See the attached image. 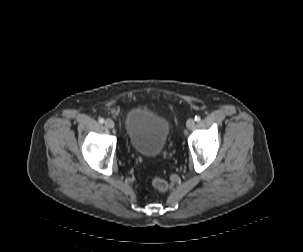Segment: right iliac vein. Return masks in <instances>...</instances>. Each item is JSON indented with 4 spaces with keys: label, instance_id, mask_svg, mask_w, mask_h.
<instances>
[{
    "label": "right iliac vein",
    "instance_id": "right-iliac-vein-1",
    "mask_svg": "<svg viewBox=\"0 0 303 252\" xmlns=\"http://www.w3.org/2000/svg\"><path fill=\"white\" fill-rule=\"evenodd\" d=\"M104 124L109 129H113L115 127V124L111 119H106Z\"/></svg>",
    "mask_w": 303,
    "mask_h": 252
}]
</instances>
